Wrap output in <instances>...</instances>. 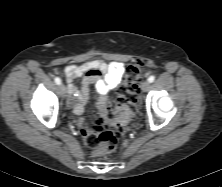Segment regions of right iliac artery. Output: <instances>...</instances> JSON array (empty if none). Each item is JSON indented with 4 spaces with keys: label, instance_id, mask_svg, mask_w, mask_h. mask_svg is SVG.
<instances>
[{
    "label": "right iliac artery",
    "instance_id": "1",
    "mask_svg": "<svg viewBox=\"0 0 222 187\" xmlns=\"http://www.w3.org/2000/svg\"><path fill=\"white\" fill-rule=\"evenodd\" d=\"M55 83H56L57 85H60V84H61V79L58 78V77H56V78H55Z\"/></svg>",
    "mask_w": 222,
    "mask_h": 187
}]
</instances>
